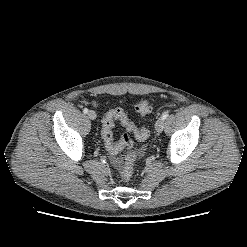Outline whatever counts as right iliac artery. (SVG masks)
I'll list each match as a JSON object with an SVG mask.
<instances>
[{
	"label": "right iliac artery",
	"mask_w": 247,
	"mask_h": 247,
	"mask_svg": "<svg viewBox=\"0 0 247 247\" xmlns=\"http://www.w3.org/2000/svg\"><path fill=\"white\" fill-rule=\"evenodd\" d=\"M83 112L86 114V113H88V109L87 108H84L83 109Z\"/></svg>",
	"instance_id": "right-iliac-artery-1"
}]
</instances>
